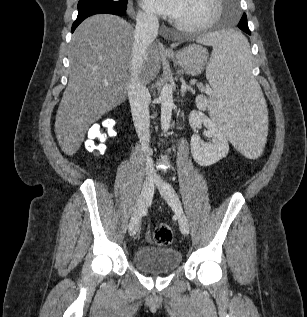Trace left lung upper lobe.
I'll return each mask as SVG.
<instances>
[{
    "label": "left lung upper lobe",
    "mask_w": 307,
    "mask_h": 317,
    "mask_svg": "<svg viewBox=\"0 0 307 317\" xmlns=\"http://www.w3.org/2000/svg\"><path fill=\"white\" fill-rule=\"evenodd\" d=\"M243 20H247L246 14H243V16H242L240 22L243 21Z\"/></svg>",
    "instance_id": "obj_1"
}]
</instances>
